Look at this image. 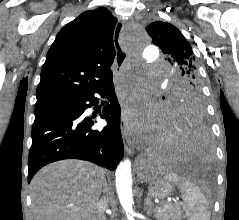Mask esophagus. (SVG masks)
<instances>
[{
	"label": "esophagus",
	"mask_w": 239,
	"mask_h": 220,
	"mask_svg": "<svg viewBox=\"0 0 239 220\" xmlns=\"http://www.w3.org/2000/svg\"><path fill=\"white\" fill-rule=\"evenodd\" d=\"M123 28H124L123 24H118L115 27L116 36L113 37V42H114L113 46L116 49V61H114V67H112V79H113L112 86L115 87L114 88L115 92H118L119 87L121 86V83H120V79L122 75L121 69H123L124 62L128 56L127 52H125L122 49L121 43H120L121 37L123 36V33H122ZM121 131H122L125 151L128 154H131L133 150L132 142L128 137L127 128H126V119L123 118V116L121 118Z\"/></svg>",
	"instance_id": "esophagus-1"
}]
</instances>
